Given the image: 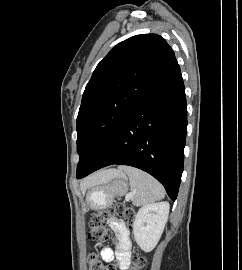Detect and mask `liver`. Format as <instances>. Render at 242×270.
Instances as JSON below:
<instances>
[{"instance_id":"1","label":"liver","mask_w":242,"mask_h":270,"mask_svg":"<svg viewBox=\"0 0 242 270\" xmlns=\"http://www.w3.org/2000/svg\"><path fill=\"white\" fill-rule=\"evenodd\" d=\"M116 172L118 171L114 169H110V170L101 171V172L91 175L86 180L81 182L80 184L81 190L84 191L88 187H92L96 184L103 183L109 180L113 176V174Z\"/></svg>"}]
</instances>
